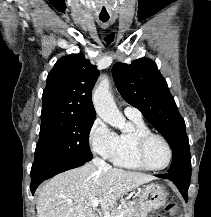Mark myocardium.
<instances>
[{
	"label": "myocardium",
	"mask_w": 211,
	"mask_h": 217,
	"mask_svg": "<svg viewBox=\"0 0 211 217\" xmlns=\"http://www.w3.org/2000/svg\"><path fill=\"white\" fill-rule=\"evenodd\" d=\"M155 138L160 139L165 144L168 150V161L163 167H153L152 165H150V163L147 160L146 152H147L148 144L150 143L151 140ZM136 152H137V156H138L140 163L146 169L152 170V171H162L166 169L171 164L172 159H173V150H172V147L169 141L163 135L158 134V133H153V132L142 134L137 138Z\"/></svg>",
	"instance_id": "f54148a6"
}]
</instances>
